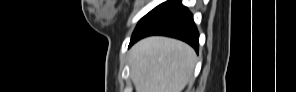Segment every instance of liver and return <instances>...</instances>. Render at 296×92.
Returning a JSON list of instances; mask_svg holds the SVG:
<instances>
[{
	"label": "liver",
	"instance_id": "obj_1",
	"mask_svg": "<svg viewBox=\"0 0 296 92\" xmlns=\"http://www.w3.org/2000/svg\"><path fill=\"white\" fill-rule=\"evenodd\" d=\"M197 56L188 44L162 36L137 42L130 50L136 92H182L192 79Z\"/></svg>",
	"mask_w": 296,
	"mask_h": 92
}]
</instances>
